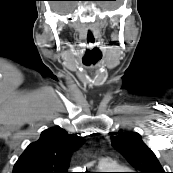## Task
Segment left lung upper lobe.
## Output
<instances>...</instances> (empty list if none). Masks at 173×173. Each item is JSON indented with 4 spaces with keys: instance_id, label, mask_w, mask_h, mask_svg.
Listing matches in <instances>:
<instances>
[{
    "instance_id": "left-lung-upper-lobe-1",
    "label": "left lung upper lobe",
    "mask_w": 173,
    "mask_h": 173,
    "mask_svg": "<svg viewBox=\"0 0 173 173\" xmlns=\"http://www.w3.org/2000/svg\"><path fill=\"white\" fill-rule=\"evenodd\" d=\"M111 143L139 171L137 173H165L155 154L138 133L120 134L114 137Z\"/></svg>"
}]
</instances>
